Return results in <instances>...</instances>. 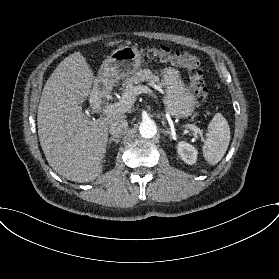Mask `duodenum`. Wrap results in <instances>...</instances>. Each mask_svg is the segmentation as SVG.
Wrapping results in <instances>:
<instances>
[{"label": "duodenum", "mask_w": 279, "mask_h": 279, "mask_svg": "<svg viewBox=\"0 0 279 279\" xmlns=\"http://www.w3.org/2000/svg\"><path fill=\"white\" fill-rule=\"evenodd\" d=\"M105 94V86L102 82L95 84L91 93V106L94 110H100Z\"/></svg>", "instance_id": "obj_1"}]
</instances>
